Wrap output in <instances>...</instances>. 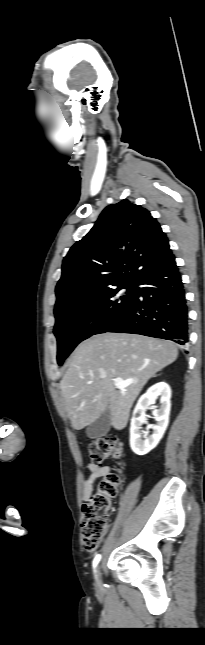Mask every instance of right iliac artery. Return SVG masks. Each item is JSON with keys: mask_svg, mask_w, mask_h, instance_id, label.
I'll return each mask as SVG.
<instances>
[{"mask_svg": "<svg viewBox=\"0 0 205 645\" xmlns=\"http://www.w3.org/2000/svg\"><path fill=\"white\" fill-rule=\"evenodd\" d=\"M100 559H101V555H100V554H98V555H96V556H95V558H94V560H93V567H94V569H95V567L98 565V563H99Z\"/></svg>", "mask_w": 205, "mask_h": 645, "instance_id": "right-iliac-artery-1", "label": "right iliac artery"}]
</instances>
